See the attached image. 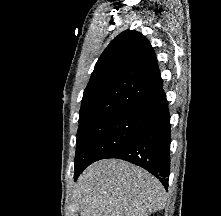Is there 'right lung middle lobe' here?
Here are the masks:
<instances>
[{"mask_svg":"<svg viewBox=\"0 0 221 216\" xmlns=\"http://www.w3.org/2000/svg\"><path fill=\"white\" fill-rule=\"evenodd\" d=\"M147 115L116 112L79 124L75 166L90 165L104 159L142 129Z\"/></svg>","mask_w":221,"mask_h":216,"instance_id":"dd1d6c3e","label":"right lung middle lobe"}]
</instances>
